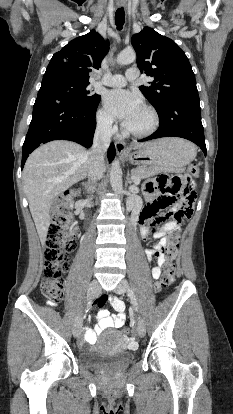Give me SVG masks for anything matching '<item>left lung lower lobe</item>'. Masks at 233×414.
I'll return each mask as SVG.
<instances>
[{
	"mask_svg": "<svg viewBox=\"0 0 233 414\" xmlns=\"http://www.w3.org/2000/svg\"><path fill=\"white\" fill-rule=\"evenodd\" d=\"M158 116V130L139 140L140 142L161 137H181L197 144L206 156L198 94L179 96L170 100Z\"/></svg>",
	"mask_w": 233,
	"mask_h": 414,
	"instance_id": "1",
	"label": "left lung lower lobe"
}]
</instances>
